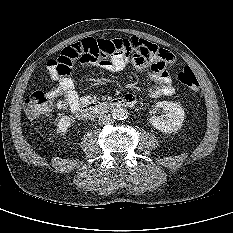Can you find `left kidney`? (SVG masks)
I'll list each match as a JSON object with an SVG mask.
<instances>
[{
	"label": "left kidney",
	"mask_w": 233,
	"mask_h": 233,
	"mask_svg": "<svg viewBox=\"0 0 233 233\" xmlns=\"http://www.w3.org/2000/svg\"><path fill=\"white\" fill-rule=\"evenodd\" d=\"M161 108L166 112L165 118L152 116L150 124L157 130L165 133H171L182 127L184 120V109L177 103L170 101L158 102L155 109Z\"/></svg>",
	"instance_id": "left-kidney-1"
}]
</instances>
